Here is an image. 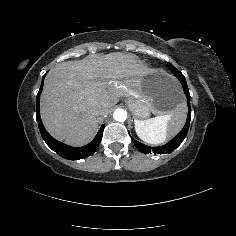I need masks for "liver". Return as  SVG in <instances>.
<instances>
[{"label":"liver","mask_w":236,"mask_h":236,"mask_svg":"<svg viewBox=\"0 0 236 236\" xmlns=\"http://www.w3.org/2000/svg\"><path fill=\"white\" fill-rule=\"evenodd\" d=\"M148 73L136 55L114 52L57 64L44 79L40 116L47 132L72 147L89 144L101 116L112 113L120 96L137 97Z\"/></svg>","instance_id":"liver-1"}]
</instances>
